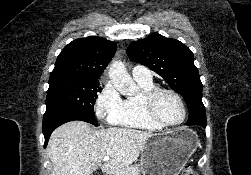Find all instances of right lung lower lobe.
Listing matches in <instances>:
<instances>
[{
    "label": "right lung lower lobe",
    "instance_id": "obj_1",
    "mask_svg": "<svg viewBox=\"0 0 251 175\" xmlns=\"http://www.w3.org/2000/svg\"><path fill=\"white\" fill-rule=\"evenodd\" d=\"M73 120H81L91 123L95 126L97 125L95 117H92L88 114L81 112L67 111V112H51L50 114H44L43 134L45 137V147L54 129H56L63 123Z\"/></svg>",
    "mask_w": 251,
    "mask_h": 175
}]
</instances>
